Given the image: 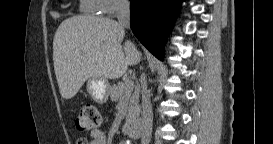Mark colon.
Listing matches in <instances>:
<instances>
[{"label": "colon", "mask_w": 273, "mask_h": 144, "mask_svg": "<svg viewBox=\"0 0 273 144\" xmlns=\"http://www.w3.org/2000/svg\"><path fill=\"white\" fill-rule=\"evenodd\" d=\"M101 124V115L98 109L91 104L81 107L76 119V127L81 132L95 131Z\"/></svg>", "instance_id": "1"}]
</instances>
